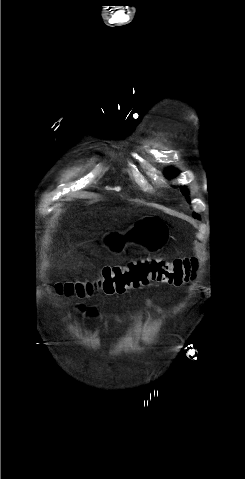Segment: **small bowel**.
I'll return each instance as SVG.
<instances>
[{
  "mask_svg": "<svg viewBox=\"0 0 245 479\" xmlns=\"http://www.w3.org/2000/svg\"><path fill=\"white\" fill-rule=\"evenodd\" d=\"M150 308H152L154 311H156L157 313H162V309L156 305H154L153 303H149L148 304ZM89 315L90 317L92 318H97L98 317V314L96 312V310L94 308H91L89 310ZM132 320H135V318H132ZM116 321L120 324L123 323V321L119 318V317H116Z\"/></svg>",
  "mask_w": 245,
  "mask_h": 479,
  "instance_id": "small-bowel-1",
  "label": "small bowel"
}]
</instances>
